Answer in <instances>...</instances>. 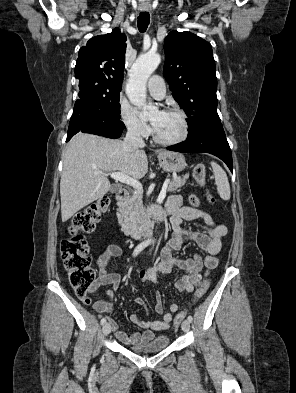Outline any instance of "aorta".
<instances>
[{"label": "aorta", "instance_id": "aorta-1", "mask_svg": "<svg viewBox=\"0 0 296 393\" xmlns=\"http://www.w3.org/2000/svg\"><path fill=\"white\" fill-rule=\"evenodd\" d=\"M160 62L161 57L157 53L143 54L137 58L130 70L126 94L130 102L141 110V116L157 111V107L146 103V83Z\"/></svg>", "mask_w": 296, "mask_h": 393}]
</instances>
